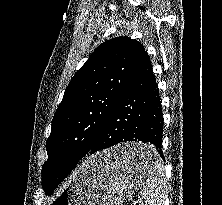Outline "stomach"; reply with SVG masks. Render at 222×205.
<instances>
[{
  "label": "stomach",
  "mask_w": 222,
  "mask_h": 205,
  "mask_svg": "<svg viewBox=\"0 0 222 205\" xmlns=\"http://www.w3.org/2000/svg\"><path fill=\"white\" fill-rule=\"evenodd\" d=\"M137 150L153 153L144 143L131 142L99 152L70 177L66 187L47 205H121L145 182L151 165L135 166L125 157Z\"/></svg>",
  "instance_id": "0dacf381"
}]
</instances>
